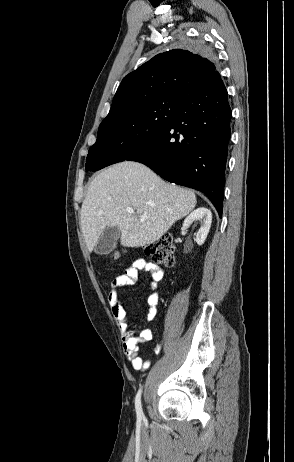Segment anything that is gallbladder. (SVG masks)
Listing matches in <instances>:
<instances>
[{
    "mask_svg": "<svg viewBox=\"0 0 294 462\" xmlns=\"http://www.w3.org/2000/svg\"><path fill=\"white\" fill-rule=\"evenodd\" d=\"M120 234L121 232L118 227H107L100 235L95 246L96 254H109L114 249L118 239L120 238Z\"/></svg>",
    "mask_w": 294,
    "mask_h": 462,
    "instance_id": "gallbladder-1",
    "label": "gallbladder"
}]
</instances>
